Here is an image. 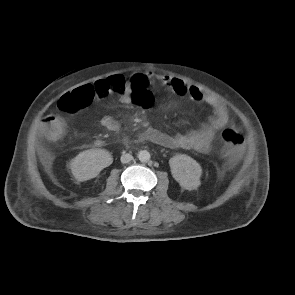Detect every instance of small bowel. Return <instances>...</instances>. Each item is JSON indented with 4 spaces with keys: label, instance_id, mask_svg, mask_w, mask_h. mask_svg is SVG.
<instances>
[{
    "label": "small bowel",
    "instance_id": "1",
    "mask_svg": "<svg viewBox=\"0 0 295 295\" xmlns=\"http://www.w3.org/2000/svg\"><path fill=\"white\" fill-rule=\"evenodd\" d=\"M152 83H159L171 93L190 98L194 101L205 103L210 106L212 116L209 121L197 129H190L184 133L167 134L154 128H148L141 133L140 139L168 148H182L196 150L201 153L209 152L217 138V134L228 122V110L216 97L201 91L197 86L189 84L180 78L169 75L154 74L149 71L136 72L127 80V86L120 94V101L128 104L132 101L131 87H146ZM148 93L150 91L148 90ZM53 116H48L51 118ZM100 124L111 132L120 130V122L109 115L100 119Z\"/></svg>",
    "mask_w": 295,
    "mask_h": 295
}]
</instances>
